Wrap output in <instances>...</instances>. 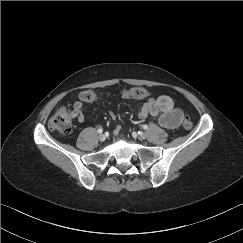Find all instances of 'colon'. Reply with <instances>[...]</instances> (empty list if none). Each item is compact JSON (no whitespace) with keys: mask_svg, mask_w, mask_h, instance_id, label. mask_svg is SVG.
Masks as SVG:
<instances>
[{"mask_svg":"<svg viewBox=\"0 0 243 243\" xmlns=\"http://www.w3.org/2000/svg\"><path fill=\"white\" fill-rule=\"evenodd\" d=\"M124 95L126 97L132 98V99H144L147 97L148 93L144 88L135 87L130 88L124 92ZM98 99V96L95 92L91 90L84 91L81 94V100L83 102L92 103L95 102ZM192 121L189 117H185L182 122V126L185 129H191L192 128ZM48 126L52 131L58 132L60 134H68L72 130V122H71V116L67 108H61L58 111H56L49 119Z\"/></svg>","mask_w":243,"mask_h":243,"instance_id":"5ec220e1","label":"colon"}]
</instances>
